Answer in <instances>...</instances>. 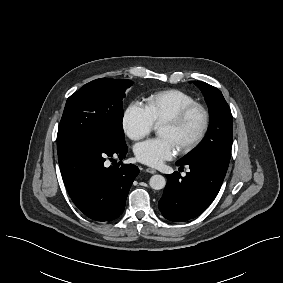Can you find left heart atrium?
<instances>
[{
	"instance_id": "obj_1",
	"label": "left heart atrium",
	"mask_w": 283,
	"mask_h": 283,
	"mask_svg": "<svg viewBox=\"0 0 283 283\" xmlns=\"http://www.w3.org/2000/svg\"><path fill=\"white\" fill-rule=\"evenodd\" d=\"M136 158L149 166L158 167L176 154V146L167 138H152L138 143L134 147Z\"/></svg>"
}]
</instances>
